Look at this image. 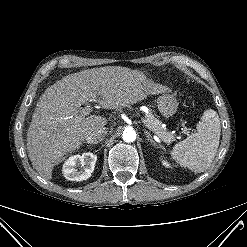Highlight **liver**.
I'll return each mask as SVG.
<instances>
[{
  "instance_id": "1",
  "label": "liver",
  "mask_w": 247,
  "mask_h": 247,
  "mask_svg": "<svg viewBox=\"0 0 247 247\" xmlns=\"http://www.w3.org/2000/svg\"><path fill=\"white\" fill-rule=\"evenodd\" d=\"M140 71L125 67H102L70 74L48 87L37 102L27 132L28 156L46 180L55 165L78 150L87 136L103 128L107 120L91 115L77 120L81 105L93 99L105 109H121L148 95L167 92Z\"/></svg>"
}]
</instances>
